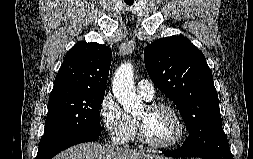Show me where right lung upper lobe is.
Masks as SVG:
<instances>
[{"label": "right lung upper lobe", "mask_w": 253, "mask_h": 159, "mask_svg": "<svg viewBox=\"0 0 253 159\" xmlns=\"http://www.w3.org/2000/svg\"><path fill=\"white\" fill-rule=\"evenodd\" d=\"M112 51L98 43L78 42L66 54L49 98L105 92Z\"/></svg>", "instance_id": "right-lung-upper-lobe-1"}]
</instances>
